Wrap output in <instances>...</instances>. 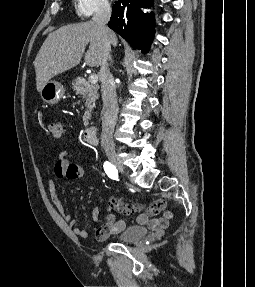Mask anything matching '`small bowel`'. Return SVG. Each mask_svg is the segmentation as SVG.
Here are the masks:
<instances>
[{
    "mask_svg": "<svg viewBox=\"0 0 255 287\" xmlns=\"http://www.w3.org/2000/svg\"><path fill=\"white\" fill-rule=\"evenodd\" d=\"M54 174L58 179L76 180L83 176V170L80 166L72 163L70 154L64 151L60 153L55 164ZM48 190L53 204L62 218L68 223L72 232L82 238L89 237L91 231L81 228L79 226V219L74 217L65 209L60 198L58 197L56 185L52 179L48 182ZM166 206V201L159 199L150 204L146 211L139 212L143 209V207L133 204H126L119 199H111L108 202L105 211V224L95 228L93 232L99 240H105L111 235L120 233L126 227L127 223L123 220L118 221L115 219L114 211L118 210L125 215H132L138 212L135 222L141 225L147 224L151 231L160 235L168 228L169 223L173 218V214L170 211L165 210ZM161 212H163L162 217L152 219V216H155ZM99 217V209H93L91 219L93 221H97Z\"/></svg>",
    "mask_w": 255,
    "mask_h": 287,
    "instance_id": "c3829d8e",
    "label": "small bowel"
}]
</instances>
